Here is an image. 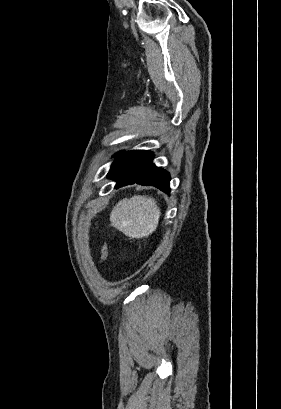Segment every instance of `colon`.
<instances>
[{
  "label": "colon",
  "mask_w": 281,
  "mask_h": 409,
  "mask_svg": "<svg viewBox=\"0 0 281 409\" xmlns=\"http://www.w3.org/2000/svg\"><path fill=\"white\" fill-rule=\"evenodd\" d=\"M107 245L106 243H102L101 248H100V258L103 261L106 256H107Z\"/></svg>",
  "instance_id": "colon-1"
}]
</instances>
